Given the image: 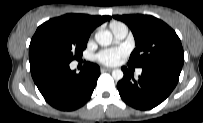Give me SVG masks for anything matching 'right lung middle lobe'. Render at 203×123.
Segmentation results:
<instances>
[{"mask_svg":"<svg viewBox=\"0 0 203 123\" xmlns=\"http://www.w3.org/2000/svg\"><path fill=\"white\" fill-rule=\"evenodd\" d=\"M89 36L72 23L53 18L40 25L31 39L29 61L35 58L71 62L87 47Z\"/></svg>","mask_w":203,"mask_h":123,"instance_id":"1","label":"right lung middle lobe"}]
</instances>
